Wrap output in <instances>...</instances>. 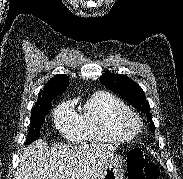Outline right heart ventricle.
I'll return each instance as SVG.
<instances>
[{"label":"right heart ventricle","mask_w":183,"mask_h":179,"mask_svg":"<svg viewBox=\"0 0 183 179\" xmlns=\"http://www.w3.org/2000/svg\"><path fill=\"white\" fill-rule=\"evenodd\" d=\"M129 110L112 93H93L85 102L79 116L82 137L89 142H121L131 139L134 135L119 126L120 117Z\"/></svg>","instance_id":"e07e8e85"}]
</instances>
